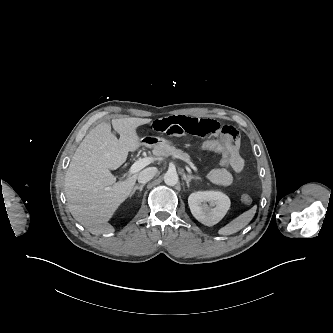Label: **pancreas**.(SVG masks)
<instances>
[{
    "label": "pancreas",
    "instance_id": "obj_1",
    "mask_svg": "<svg viewBox=\"0 0 333 333\" xmlns=\"http://www.w3.org/2000/svg\"><path fill=\"white\" fill-rule=\"evenodd\" d=\"M153 154L157 157H167L174 155L188 164H193L189 154L184 153L182 150L176 149L174 146L169 144H161L156 146L153 150Z\"/></svg>",
    "mask_w": 333,
    "mask_h": 333
}]
</instances>
